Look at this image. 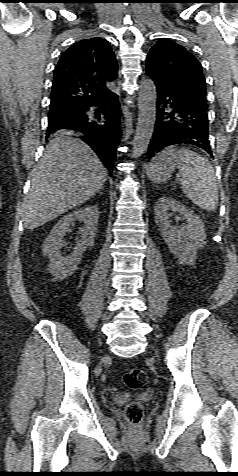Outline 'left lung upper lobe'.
I'll return each instance as SVG.
<instances>
[{
    "mask_svg": "<svg viewBox=\"0 0 238 476\" xmlns=\"http://www.w3.org/2000/svg\"><path fill=\"white\" fill-rule=\"evenodd\" d=\"M146 73L156 87L184 102L207 108L201 64L181 45L167 39L157 41L147 56Z\"/></svg>",
    "mask_w": 238,
    "mask_h": 476,
    "instance_id": "left-lung-upper-lobe-1",
    "label": "left lung upper lobe"
}]
</instances>
